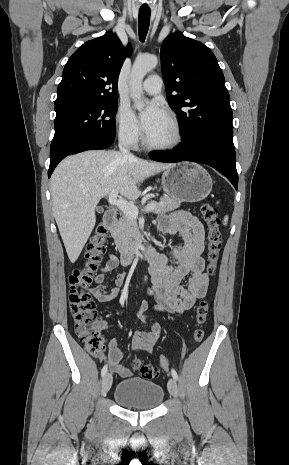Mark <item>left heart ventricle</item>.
<instances>
[{
	"label": "left heart ventricle",
	"mask_w": 289,
	"mask_h": 465,
	"mask_svg": "<svg viewBox=\"0 0 289 465\" xmlns=\"http://www.w3.org/2000/svg\"><path fill=\"white\" fill-rule=\"evenodd\" d=\"M147 139L153 143H165L172 138L171 125L164 116L158 126L149 134L146 135Z\"/></svg>",
	"instance_id": "obj_1"
}]
</instances>
